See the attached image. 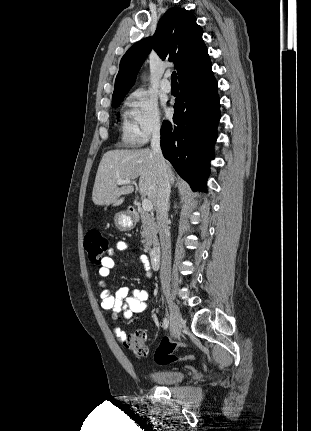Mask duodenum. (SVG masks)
Instances as JSON below:
<instances>
[{"mask_svg": "<svg viewBox=\"0 0 311 431\" xmlns=\"http://www.w3.org/2000/svg\"><path fill=\"white\" fill-rule=\"evenodd\" d=\"M129 214L131 216H135L137 214L136 210L133 207L129 208ZM160 248L159 246H154L149 251V258L154 267H158L160 263Z\"/></svg>", "mask_w": 311, "mask_h": 431, "instance_id": "1", "label": "duodenum"}]
</instances>
